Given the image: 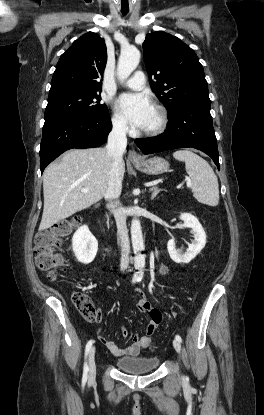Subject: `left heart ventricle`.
<instances>
[{
	"label": "left heart ventricle",
	"instance_id": "obj_1",
	"mask_svg": "<svg viewBox=\"0 0 264 415\" xmlns=\"http://www.w3.org/2000/svg\"><path fill=\"white\" fill-rule=\"evenodd\" d=\"M157 123H158V113L155 109H153V111H152L150 117L148 118L143 130L151 129V128L155 127Z\"/></svg>",
	"mask_w": 264,
	"mask_h": 415
}]
</instances>
